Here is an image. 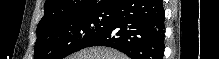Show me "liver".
Here are the masks:
<instances>
[{
  "mask_svg": "<svg viewBox=\"0 0 219 59\" xmlns=\"http://www.w3.org/2000/svg\"><path fill=\"white\" fill-rule=\"evenodd\" d=\"M67 59H128L126 55L111 48L91 47L83 49Z\"/></svg>",
  "mask_w": 219,
  "mask_h": 59,
  "instance_id": "obj_1",
  "label": "liver"
}]
</instances>
